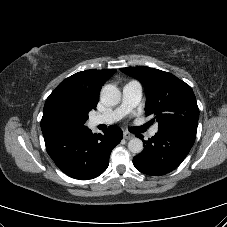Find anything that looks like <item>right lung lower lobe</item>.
I'll return each instance as SVG.
<instances>
[{
  "instance_id": "obj_1",
  "label": "right lung lower lobe",
  "mask_w": 227,
  "mask_h": 227,
  "mask_svg": "<svg viewBox=\"0 0 227 227\" xmlns=\"http://www.w3.org/2000/svg\"><path fill=\"white\" fill-rule=\"evenodd\" d=\"M122 137V130L112 125L103 135L93 134L86 127L51 133L44 136V140L58 168L72 178L83 180L95 178L107 169L111 151Z\"/></svg>"
}]
</instances>
